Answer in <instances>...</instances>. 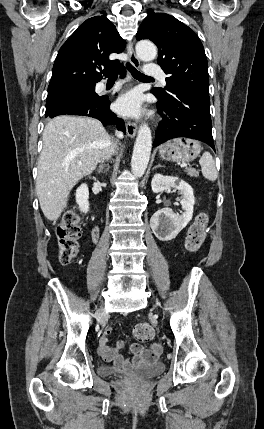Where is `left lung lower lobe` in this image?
<instances>
[{
    "mask_svg": "<svg viewBox=\"0 0 264 429\" xmlns=\"http://www.w3.org/2000/svg\"><path fill=\"white\" fill-rule=\"evenodd\" d=\"M157 98V109L163 120L158 126L153 146L172 138L188 137L207 143L215 151L208 94L175 85L171 98Z\"/></svg>",
    "mask_w": 264,
    "mask_h": 429,
    "instance_id": "0a47b994",
    "label": "left lung lower lobe"
}]
</instances>
